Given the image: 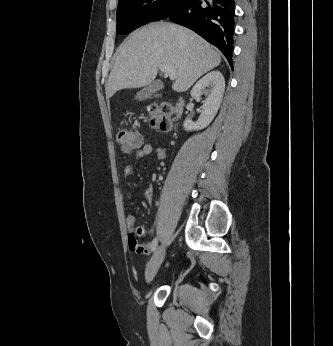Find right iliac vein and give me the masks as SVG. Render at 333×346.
Masks as SVG:
<instances>
[{
  "instance_id": "1",
  "label": "right iliac vein",
  "mask_w": 333,
  "mask_h": 346,
  "mask_svg": "<svg viewBox=\"0 0 333 346\" xmlns=\"http://www.w3.org/2000/svg\"><path fill=\"white\" fill-rule=\"evenodd\" d=\"M165 257V246L160 245L156 251L154 252L153 256L149 260L145 272L146 281L149 283L153 280L154 276L156 275L158 269L160 268L163 260Z\"/></svg>"
}]
</instances>
